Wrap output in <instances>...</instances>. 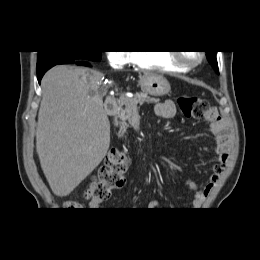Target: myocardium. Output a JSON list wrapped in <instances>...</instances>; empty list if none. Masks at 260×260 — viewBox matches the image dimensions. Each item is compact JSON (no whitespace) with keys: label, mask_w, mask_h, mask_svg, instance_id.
I'll use <instances>...</instances> for the list:
<instances>
[{"label":"myocardium","mask_w":260,"mask_h":260,"mask_svg":"<svg viewBox=\"0 0 260 260\" xmlns=\"http://www.w3.org/2000/svg\"><path fill=\"white\" fill-rule=\"evenodd\" d=\"M196 54H197V56L193 59L186 57L185 53H182V52H172L170 56H171L172 61L176 65H178L182 68L188 69V68L195 67L202 61V59L204 57L203 53L196 52Z\"/></svg>","instance_id":"myocardium-1"}]
</instances>
